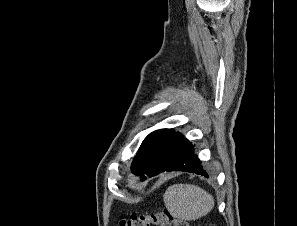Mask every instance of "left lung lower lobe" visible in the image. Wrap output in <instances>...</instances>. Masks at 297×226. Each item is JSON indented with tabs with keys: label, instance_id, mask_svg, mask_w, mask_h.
<instances>
[{
	"label": "left lung lower lobe",
	"instance_id": "1",
	"mask_svg": "<svg viewBox=\"0 0 297 226\" xmlns=\"http://www.w3.org/2000/svg\"><path fill=\"white\" fill-rule=\"evenodd\" d=\"M193 146L180 133H176L170 145L148 176H155L164 171H187L208 177L202 168ZM144 177L142 180H145Z\"/></svg>",
	"mask_w": 297,
	"mask_h": 226
}]
</instances>
